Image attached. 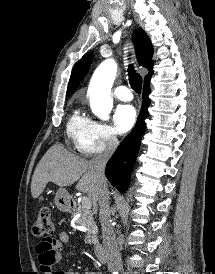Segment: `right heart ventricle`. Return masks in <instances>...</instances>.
<instances>
[{
    "label": "right heart ventricle",
    "instance_id": "obj_1",
    "mask_svg": "<svg viewBox=\"0 0 215 274\" xmlns=\"http://www.w3.org/2000/svg\"><path fill=\"white\" fill-rule=\"evenodd\" d=\"M91 126V120L80 109H75L68 119L66 131L69 139L76 147L80 145Z\"/></svg>",
    "mask_w": 215,
    "mask_h": 274
}]
</instances>
